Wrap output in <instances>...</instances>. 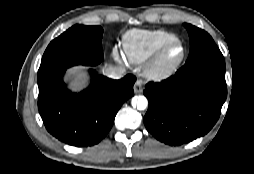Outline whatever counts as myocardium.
<instances>
[{"label":"myocardium","instance_id":"1","mask_svg":"<svg viewBox=\"0 0 254 174\" xmlns=\"http://www.w3.org/2000/svg\"><path fill=\"white\" fill-rule=\"evenodd\" d=\"M179 45L182 49L180 57L170 63L164 62L166 53L173 47ZM186 56V47L178 38L162 45L156 53L150 58L146 68L147 76L156 80H164L172 76L181 66Z\"/></svg>","mask_w":254,"mask_h":174}]
</instances>
